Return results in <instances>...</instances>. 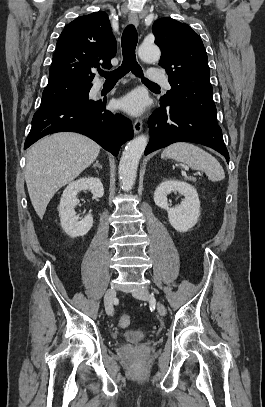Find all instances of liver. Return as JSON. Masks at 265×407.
Instances as JSON below:
<instances>
[{
  "label": "liver",
  "instance_id": "1",
  "mask_svg": "<svg viewBox=\"0 0 265 407\" xmlns=\"http://www.w3.org/2000/svg\"><path fill=\"white\" fill-rule=\"evenodd\" d=\"M99 152L96 142L73 132L55 133L29 148L25 180L40 219L54 194L89 167Z\"/></svg>",
  "mask_w": 265,
  "mask_h": 407
}]
</instances>
